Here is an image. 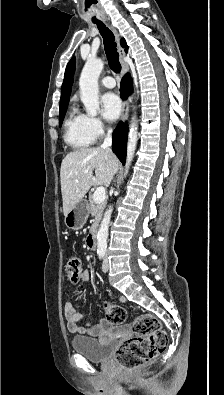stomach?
<instances>
[{
    "instance_id": "1",
    "label": "stomach",
    "mask_w": 224,
    "mask_h": 395,
    "mask_svg": "<svg viewBox=\"0 0 224 395\" xmlns=\"http://www.w3.org/2000/svg\"><path fill=\"white\" fill-rule=\"evenodd\" d=\"M89 216L87 202L85 200L79 201L66 215L65 225L68 229H81Z\"/></svg>"
}]
</instances>
